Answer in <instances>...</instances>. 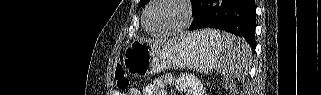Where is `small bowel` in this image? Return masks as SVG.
I'll return each instance as SVG.
<instances>
[{
	"label": "small bowel",
	"mask_w": 321,
	"mask_h": 95,
	"mask_svg": "<svg viewBox=\"0 0 321 95\" xmlns=\"http://www.w3.org/2000/svg\"><path fill=\"white\" fill-rule=\"evenodd\" d=\"M128 95H166V90L160 85V84H151L143 93H140L137 90H130ZM204 94V89L202 86H198L194 90V95H203Z\"/></svg>",
	"instance_id": "c3829d8e"
}]
</instances>
